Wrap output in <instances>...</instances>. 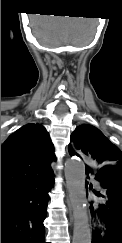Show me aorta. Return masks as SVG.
<instances>
[{"mask_svg":"<svg viewBox=\"0 0 122 243\" xmlns=\"http://www.w3.org/2000/svg\"><path fill=\"white\" fill-rule=\"evenodd\" d=\"M65 178L75 217L72 243H91V232L85 206V166L75 159L68 160Z\"/></svg>","mask_w":122,"mask_h":243,"instance_id":"1","label":"aorta"}]
</instances>
